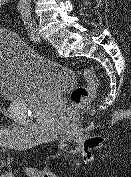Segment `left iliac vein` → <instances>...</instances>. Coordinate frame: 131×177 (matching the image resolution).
Listing matches in <instances>:
<instances>
[{"label":"left iliac vein","mask_w":131,"mask_h":177,"mask_svg":"<svg viewBox=\"0 0 131 177\" xmlns=\"http://www.w3.org/2000/svg\"><path fill=\"white\" fill-rule=\"evenodd\" d=\"M32 24H33L34 30L36 32V41H35V43H38V42H40V35L38 33L37 24H36V22L34 20L32 21Z\"/></svg>","instance_id":"4c4485c4"}]
</instances>
